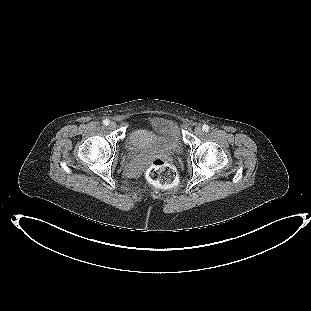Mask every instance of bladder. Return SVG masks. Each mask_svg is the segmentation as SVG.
I'll use <instances>...</instances> for the list:
<instances>
[{
	"instance_id": "31cf9c89",
	"label": "bladder",
	"mask_w": 311,
	"mask_h": 311,
	"mask_svg": "<svg viewBox=\"0 0 311 311\" xmlns=\"http://www.w3.org/2000/svg\"><path fill=\"white\" fill-rule=\"evenodd\" d=\"M126 149L130 152H144L150 149L169 153H180L183 142L178 125L165 117H152L147 127L132 129L126 136Z\"/></svg>"
}]
</instances>
